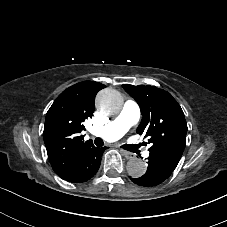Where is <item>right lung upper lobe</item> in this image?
Masks as SVG:
<instances>
[{"instance_id": "cb5924a9", "label": "right lung upper lobe", "mask_w": 227, "mask_h": 227, "mask_svg": "<svg viewBox=\"0 0 227 227\" xmlns=\"http://www.w3.org/2000/svg\"><path fill=\"white\" fill-rule=\"evenodd\" d=\"M106 86L93 81L77 83L63 91L46 114L44 142L48 158L57 175L63 174L88 148L84 141L83 122L92 116L95 96Z\"/></svg>"}]
</instances>
